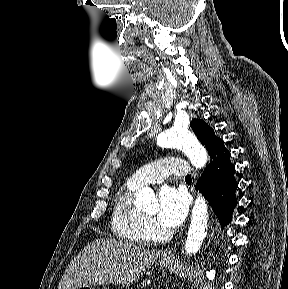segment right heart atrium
I'll use <instances>...</instances> for the list:
<instances>
[{"mask_svg":"<svg viewBox=\"0 0 288 289\" xmlns=\"http://www.w3.org/2000/svg\"><path fill=\"white\" fill-rule=\"evenodd\" d=\"M144 232L147 238H155L159 235L160 229L153 219L147 217L144 220Z\"/></svg>","mask_w":288,"mask_h":289,"instance_id":"d8ad5b80","label":"right heart atrium"}]
</instances>
